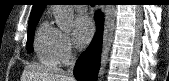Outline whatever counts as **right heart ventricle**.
<instances>
[{
	"mask_svg": "<svg viewBox=\"0 0 169 81\" xmlns=\"http://www.w3.org/2000/svg\"><path fill=\"white\" fill-rule=\"evenodd\" d=\"M58 33L46 22L38 27L34 38V51L40 62L51 66L57 64L56 39Z\"/></svg>",
	"mask_w": 169,
	"mask_h": 81,
	"instance_id": "obj_1",
	"label": "right heart ventricle"
}]
</instances>
